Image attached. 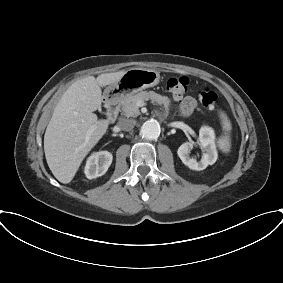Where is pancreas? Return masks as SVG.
Segmentation results:
<instances>
[{"instance_id":"cf45deb5","label":"pancreas","mask_w":283,"mask_h":283,"mask_svg":"<svg viewBox=\"0 0 283 283\" xmlns=\"http://www.w3.org/2000/svg\"><path fill=\"white\" fill-rule=\"evenodd\" d=\"M152 100L158 104H164L166 107L170 104V99L166 96L155 93L154 91H141L136 94H127L121 100L122 113L126 117H137L140 115L138 101Z\"/></svg>"}]
</instances>
